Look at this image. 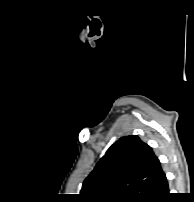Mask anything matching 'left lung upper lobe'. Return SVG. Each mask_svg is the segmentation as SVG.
<instances>
[{
    "instance_id": "obj_1",
    "label": "left lung upper lobe",
    "mask_w": 194,
    "mask_h": 202,
    "mask_svg": "<svg viewBox=\"0 0 194 202\" xmlns=\"http://www.w3.org/2000/svg\"><path fill=\"white\" fill-rule=\"evenodd\" d=\"M164 172L150 146L138 136L114 143L85 179L84 202H152Z\"/></svg>"
}]
</instances>
